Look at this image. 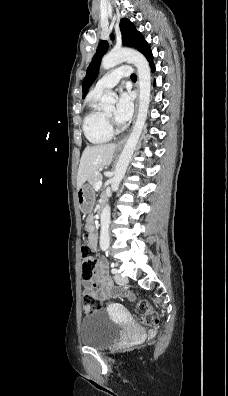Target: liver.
Returning <instances> with one entry per match:
<instances>
[{
  "instance_id": "1",
  "label": "liver",
  "mask_w": 228,
  "mask_h": 396,
  "mask_svg": "<svg viewBox=\"0 0 228 396\" xmlns=\"http://www.w3.org/2000/svg\"><path fill=\"white\" fill-rule=\"evenodd\" d=\"M117 145L113 143L88 145L81 156L78 174L77 189H79L86 180H89L98 169L111 164Z\"/></svg>"
}]
</instances>
